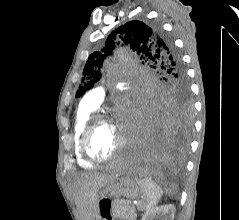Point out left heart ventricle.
Here are the masks:
<instances>
[{"label": "left heart ventricle", "mask_w": 239, "mask_h": 220, "mask_svg": "<svg viewBox=\"0 0 239 220\" xmlns=\"http://www.w3.org/2000/svg\"><path fill=\"white\" fill-rule=\"evenodd\" d=\"M121 133L112 122L99 123L92 132L90 149L98 157L109 155L117 146Z\"/></svg>", "instance_id": "left-heart-ventricle-1"}]
</instances>
